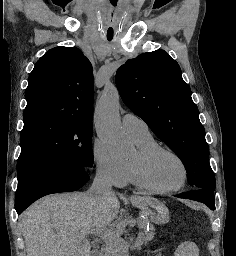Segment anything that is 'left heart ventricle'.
Returning a JSON list of instances; mask_svg holds the SVG:
<instances>
[{"label":"left heart ventricle","instance_id":"left-heart-ventricle-1","mask_svg":"<svg viewBox=\"0 0 236 256\" xmlns=\"http://www.w3.org/2000/svg\"><path fill=\"white\" fill-rule=\"evenodd\" d=\"M136 153L130 161H133ZM148 176L155 185L160 187H174L183 179V167L172 155L160 153L152 157L147 166Z\"/></svg>","mask_w":236,"mask_h":256}]
</instances>
